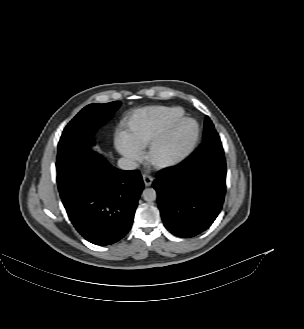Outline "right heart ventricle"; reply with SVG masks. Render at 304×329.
<instances>
[{
    "mask_svg": "<svg viewBox=\"0 0 304 329\" xmlns=\"http://www.w3.org/2000/svg\"><path fill=\"white\" fill-rule=\"evenodd\" d=\"M184 115V110L175 106L140 110L129 121L130 135L141 149L146 148Z\"/></svg>",
    "mask_w": 304,
    "mask_h": 329,
    "instance_id": "right-heart-ventricle-1",
    "label": "right heart ventricle"
}]
</instances>
